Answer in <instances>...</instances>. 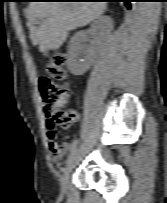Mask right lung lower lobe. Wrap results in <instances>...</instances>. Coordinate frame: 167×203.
I'll return each instance as SVG.
<instances>
[{"mask_svg":"<svg viewBox=\"0 0 167 203\" xmlns=\"http://www.w3.org/2000/svg\"><path fill=\"white\" fill-rule=\"evenodd\" d=\"M104 1L124 2L126 7L129 9L130 8V2H132L133 0H104Z\"/></svg>","mask_w":167,"mask_h":203,"instance_id":"right-lung-lower-lobe-1","label":"right lung lower lobe"}]
</instances>
